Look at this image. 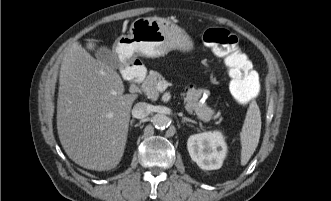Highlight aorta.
<instances>
[{"label": "aorta", "mask_w": 331, "mask_h": 201, "mask_svg": "<svg viewBox=\"0 0 331 201\" xmlns=\"http://www.w3.org/2000/svg\"><path fill=\"white\" fill-rule=\"evenodd\" d=\"M152 123L156 129H165L169 125V118L164 114H156L152 118Z\"/></svg>", "instance_id": "762f6f07"}]
</instances>
